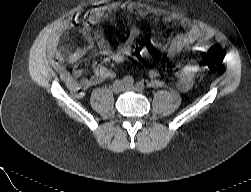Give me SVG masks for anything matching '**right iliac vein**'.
<instances>
[{
    "instance_id": "1",
    "label": "right iliac vein",
    "mask_w": 251,
    "mask_h": 192,
    "mask_svg": "<svg viewBox=\"0 0 251 192\" xmlns=\"http://www.w3.org/2000/svg\"><path fill=\"white\" fill-rule=\"evenodd\" d=\"M125 83L123 81H116L113 84V91L119 93L124 90Z\"/></svg>"
}]
</instances>
